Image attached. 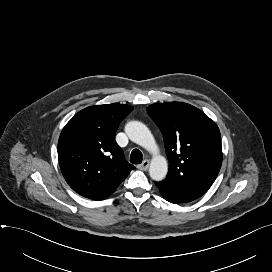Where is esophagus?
<instances>
[{"instance_id":"34e87169","label":"esophagus","mask_w":272,"mask_h":272,"mask_svg":"<svg viewBox=\"0 0 272 272\" xmlns=\"http://www.w3.org/2000/svg\"><path fill=\"white\" fill-rule=\"evenodd\" d=\"M149 164H150V161L146 159L142 162V164L138 165V168L140 170L146 171L149 168Z\"/></svg>"}]
</instances>
